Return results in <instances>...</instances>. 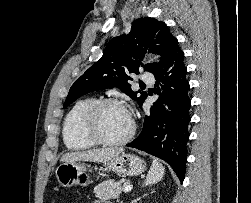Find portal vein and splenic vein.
I'll use <instances>...</instances> for the list:
<instances>
[{"label":"portal vein and splenic vein","instance_id":"1","mask_svg":"<svg viewBox=\"0 0 251 203\" xmlns=\"http://www.w3.org/2000/svg\"><path fill=\"white\" fill-rule=\"evenodd\" d=\"M132 188H133V186L130 185V184H128V185H125V186H124L123 191H124V192H129V191L132 190Z\"/></svg>","mask_w":251,"mask_h":203}]
</instances>
